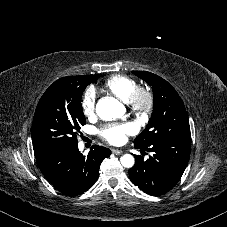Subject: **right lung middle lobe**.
Masks as SVG:
<instances>
[{
    "label": "right lung middle lobe",
    "mask_w": 227,
    "mask_h": 227,
    "mask_svg": "<svg viewBox=\"0 0 227 227\" xmlns=\"http://www.w3.org/2000/svg\"><path fill=\"white\" fill-rule=\"evenodd\" d=\"M100 75L74 76L53 83L41 97L32 124L34 153L52 147L78 144L77 132L86 123L81 97L87 85Z\"/></svg>",
    "instance_id": "right-lung-middle-lobe-1"
}]
</instances>
